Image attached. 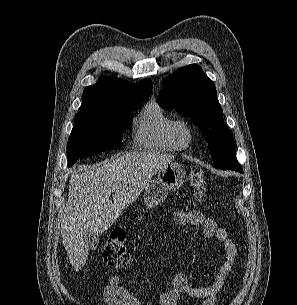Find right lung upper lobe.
<instances>
[{
	"mask_svg": "<svg viewBox=\"0 0 297 305\" xmlns=\"http://www.w3.org/2000/svg\"><path fill=\"white\" fill-rule=\"evenodd\" d=\"M151 90L150 79L131 85L123 79L101 77L98 83L84 89L80 108L107 107L128 100L147 99Z\"/></svg>",
	"mask_w": 297,
	"mask_h": 305,
	"instance_id": "cb5924a9",
	"label": "right lung upper lobe"
}]
</instances>
